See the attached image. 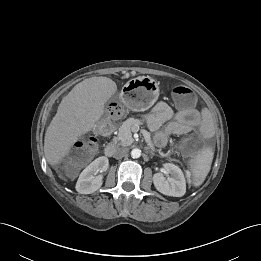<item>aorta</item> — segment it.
Here are the masks:
<instances>
[{"label":"aorta","mask_w":261,"mask_h":261,"mask_svg":"<svg viewBox=\"0 0 261 261\" xmlns=\"http://www.w3.org/2000/svg\"><path fill=\"white\" fill-rule=\"evenodd\" d=\"M131 156L132 158H139L141 156V150L138 148L132 149Z\"/></svg>","instance_id":"1"}]
</instances>
